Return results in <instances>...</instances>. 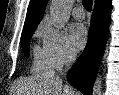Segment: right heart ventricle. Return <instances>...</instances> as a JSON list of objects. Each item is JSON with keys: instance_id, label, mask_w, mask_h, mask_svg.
Instances as JSON below:
<instances>
[{"instance_id": "1", "label": "right heart ventricle", "mask_w": 119, "mask_h": 95, "mask_svg": "<svg viewBox=\"0 0 119 95\" xmlns=\"http://www.w3.org/2000/svg\"><path fill=\"white\" fill-rule=\"evenodd\" d=\"M30 69L32 73L37 75L50 76L53 73L54 68L43 46L34 47Z\"/></svg>"}]
</instances>
